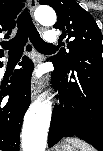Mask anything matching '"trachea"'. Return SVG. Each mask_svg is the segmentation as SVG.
Listing matches in <instances>:
<instances>
[{
    "label": "trachea",
    "mask_w": 103,
    "mask_h": 151,
    "mask_svg": "<svg viewBox=\"0 0 103 151\" xmlns=\"http://www.w3.org/2000/svg\"><path fill=\"white\" fill-rule=\"evenodd\" d=\"M17 25L18 32L16 36L3 44V48L8 49L10 55L22 54L28 38L39 52H44L53 48V45L42 40L27 9L19 15Z\"/></svg>",
    "instance_id": "1"
}]
</instances>
